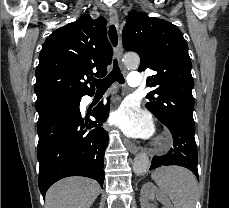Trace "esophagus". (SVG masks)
Masks as SVG:
<instances>
[{
	"label": "esophagus",
	"instance_id": "esophagus-1",
	"mask_svg": "<svg viewBox=\"0 0 229 208\" xmlns=\"http://www.w3.org/2000/svg\"><path fill=\"white\" fill-rule=\"evenodd\" d=\"M109 17H110L111 23L114 24L116 27H119L118 15H117V12L113 8L109 10ZM122 55H123V47H122L121 40H119L118 46H117V57L121 65H122ZM124 144L127 146L130 153L132 154L137 153L138 147L134 143H132L130 140H127V139L124 140Z\"/></svg>",
	"mask_w": 229,
	"mask_h": 208
}]
</instances>
